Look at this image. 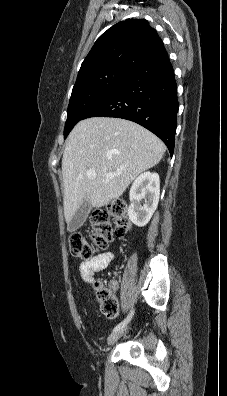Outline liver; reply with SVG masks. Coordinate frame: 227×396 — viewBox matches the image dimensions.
Segmentation results:
<instances>
[{"mask_svg": "<svg viewBox=\"0 0 227 396\" xmlns=\"http://www.w3.org/2000/svg\"><path fill=\"white\" fill-rule=\"evenodd\" d=\"M165 151L157 136L134 122L114 117L81 120L70 132L62 158L66 222L84 198L99 208L120 197L140 173L160 162ZM89 171L96 177L89 178Z\"/></svg>", "mask_w": 227, "mask_h": 396, "instance_id": "liver-1", "label": "liver"}]
</instances>
